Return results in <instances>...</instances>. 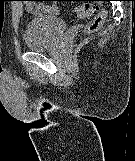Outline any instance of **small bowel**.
<instances>
[{
	"instance_id": "c3829d8e",
	"label": "small bowel",
	"mask_w": 135,
	"mask_h": 161,
	"mask_svg": "<svg viewBox=\"0 0 135 161\" xmlns=\"http://www.w3.org/2000/svg\"><path fill=\"white\" fill-rule=\"evenodd\" d=\"M25 5H26V8L31 12H34V13H41L42 12V10L36 9L33 7L32 1H25ZM46 10L50 11V12H57V9L55 6L47 7Z\"/></svg>"
}]
</instances>
